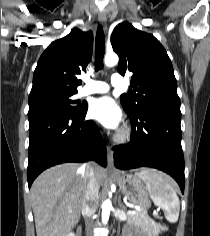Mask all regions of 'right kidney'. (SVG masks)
<instances>
[{
    "instance_id": "right-kidney-1",
    "label": "right kidney",
    "mask_w": 210,
    "mask_h": 236,
    "mask_svg": "<svg viewBox=\"0 0 210 236\" xmlns=\"http://www.w3.org/2000/svg\"><path fill=\"white\" fill-rule=\"evenodd\" d=\"M65 236H75V234L70 232L69 234H67Z\"/></svg>"
}]
</instances>
